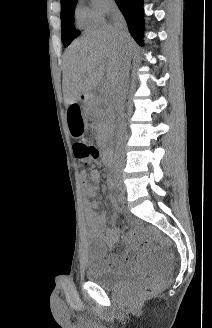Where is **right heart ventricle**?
Here are the masks:
<instances>
[{
  "mask_svg": "<svg viewBox=\"0 0 212 328\" xmlns=\"http://www.w3.org/2000/svg\"><path fill=\"white\" fill-rule=\"evenodd\" d=\"M76 23L79 27L87 26L91 23L86 13L82 9H78L76 12Z\"/></svg>",
  "mask_w": 212,
  "mask_h": 328,
  "instance_id": "right-heart-ventricle-1",
  "label": "right heart ventricle"
}]
</instances>
